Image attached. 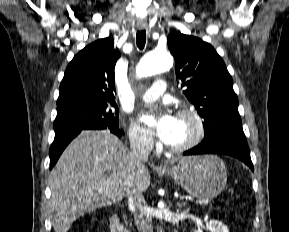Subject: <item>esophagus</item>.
I'll list each match as a JSON object with an SVG mask.
<instances>
[{
  "label": "esophagus",
  "instance_id": "esophagus-1",
  "mask_svg": "<svg viewBox=\"0 0 289 232\" xmlns=\"http://www.w3.org/2000/svg\"><path fill=\"white\" fill-rule=\"evenodd\" d=\"M145 27H146V24H144V23H139V24H137V28H138L139 30H143V29H145Z\"/></svg>",
  "mask_w": 289,
  "mask_h": 232
}]
</instances>
